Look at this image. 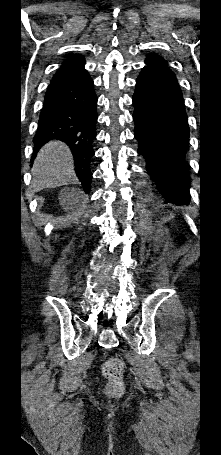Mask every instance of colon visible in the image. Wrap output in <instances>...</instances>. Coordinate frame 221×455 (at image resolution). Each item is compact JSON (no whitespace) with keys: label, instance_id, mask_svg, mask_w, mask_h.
I'll return each instance as SVG.
<instances>
[{"label":"colon","instance_id":"1","mask_svg":"<svg viewBox=\"0 0 221 455\" xmlns=\"http://www.w3.org/2000/svg\"><path fill=\"white\" fill-rule=\"evenodd\" d=\"M103 375L108 380V390L112 395H119L124 389V364L118 357H109L102 367Z\"/></svg>","mask_w":221,"mask_h":455}]
</instances>
